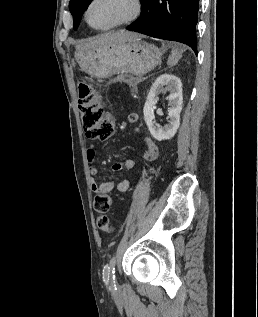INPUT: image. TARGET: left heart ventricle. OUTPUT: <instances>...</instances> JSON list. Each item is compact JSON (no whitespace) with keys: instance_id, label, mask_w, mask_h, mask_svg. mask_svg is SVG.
<instances>
[{"instance_id":"1","label":"left heart ventricle","mask_w":258,"mask_h":317,"mask_svg":"<svg viewBox=\"0 0 258 317\" xmlns=\"http://www.w3.org/2000/svg\"><path fill=\"white\" fill-rule=\"evenodd\" d=\"M131 5L120 0H96L89 11L90 21L97 26H106L127 17Z\"/></svg>"}]
</instances>
